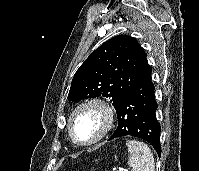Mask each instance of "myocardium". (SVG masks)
<instances>
[{
  "label": "myocardium",
  "instance_id": "myocardium-1",
  "mask_svg": "<svg viewBox=\"0 0 199 171\" xmlns=\"http://www.w3.org/2000/svg\"><path fill=\"white\" fill-rule=\"evenodd\" d=\"M93 108L99 112L102 117L103 125L98 135L88 142L79 141L74 132L72 123L76 115L83 109ZM115 120V112L113 107L100 98H89L78 103L68 116L67 129L71 140L79 146H91L102 140L112 129Z\"/></svg>",
  "mask_w": 199,
  "mask_h": 171
}]
</instances>
